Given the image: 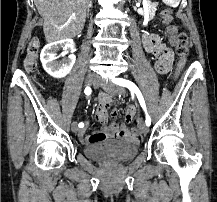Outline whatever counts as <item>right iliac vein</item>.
<instances>
[{
	"label": "right iliac vein",
	"mask_w": 217,
	"mask_h": 202,
	"mask_svg": "<svg viewBox=\"0 0 217 202\" xmlns=\"http://www.w3.org/2000/svg\"><path fill=\"white\" fill-rule=\"evenodd\" d=\"M96 81V77L95 75L93 74H87L86 77H85V85L86 86H91L92 84H94ZM71 129L74 133H77L78 132V125H77V122L74 121L72 124H71Z\"/></svg>",
	"instance_id": "1"
}]
</instances>
